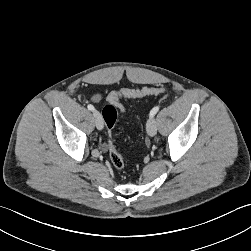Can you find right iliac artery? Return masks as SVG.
Here are the masks:
<instances>
[{
  "label": "right iliac artery",
  "instance_id": "82829eb1",
  "mask_svg": "<svg viewBox=\"0 0 251 251\" xmlns=\"http://www.w3.org/2000/svg\"><path fill=\"white\" fill-rule=\"evenodd\" d=\"M87 108H88L90 111H94V110H95L94 106L91 105V104H89V105L87 106Z\"/></svg>",
  "mask_w": 251,
  "mask_h": 251
}]
</instances>
